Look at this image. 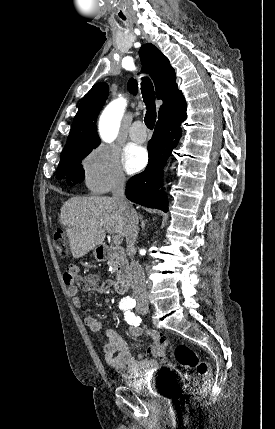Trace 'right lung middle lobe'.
<instances>
[{
  "instance_id": "1",
  "label": "right lung middle lobe",
  "mask_w": 275,
  "mask_h": 429,
  "mask_svg": "<svg viewBox=\"0 0 275 429\" xmlns=\"http://www.w3.org/2000/svg\"><path fill=\"white\" fill-rule=\"evenodd\" d=\"M89 153L90 152H86L82 154L61 157L57 168V178H65L69 185H75L82 182L84 178V170L81 165V160Z\"/></svg>"
}]
</instances>
